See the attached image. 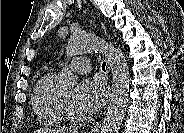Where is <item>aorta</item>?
Wrapping results in <instances>:
<instances>
[{
  "label": "aorta",
  "instance_id": "762f6f07",
  "mask_svg": "<svg viewBox=\"0 0 184 133\" xmlns=\"http://www.w3.org/2000/svg\"><path fill=\"white\" fill-rule=\"evenodd\" d=\"M90 52L104 54L112 71V97L103 121L100 133H118L124 119L129 95V67L123 53L105 40L73 34L67 44L68 57ZM77 83V77L70 71L60 74L61 87L71 90Z\"/></svg>",
  "mask_w": 184,
  "mask_h": 133
}]
</instances>
